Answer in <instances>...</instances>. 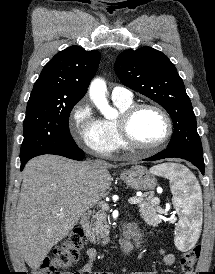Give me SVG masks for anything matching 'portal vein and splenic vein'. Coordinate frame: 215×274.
I'll list each match as a JSON object with an SVG mask.
<instances>
[{
  "instance_id": "18ae733b",
  "label": "portal vein and splenic vein",
  "mask_w": 215,
  "mask_h": 274,
  "mask_svg": "<svg viewBox=\"0 0 215 274\" xmlns=\"http://www.w3.org/2000/svg\"><path fill=\"white\" fill-rule=\"evenodd\" d=\"M142 201H143V199L141 197H131L129 199V203L132 204V205L138 204V203H140ZM99 204H100V206H101L102 209H104V210L108 209V204H106L105 202H100Z\"/></svg>"
}]
</instances>
